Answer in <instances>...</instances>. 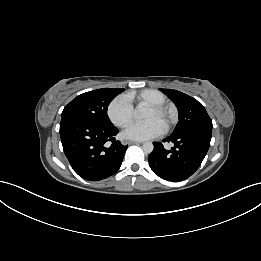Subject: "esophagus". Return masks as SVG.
<instances>
[{
    "mask_svg": "<svg viewBox=\"0 0 261 261\" xmlns=\"http://www.w3.org/2000/svg\"><path fill=\"white\" fill-rule=\"evenodd\" d=\"M128 144H130V145L137 144L138 145V144H142V142L130 140V141H128Z\"/></svg>",
    "mask_w": 261,
    "mask_h": 261,
    "instance_id": "obj_1",
    "label": "esophagus"
}]
</instances>
